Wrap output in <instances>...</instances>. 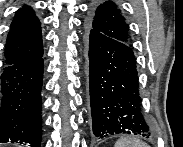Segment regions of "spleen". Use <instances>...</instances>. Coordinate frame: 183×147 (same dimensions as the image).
<instances>
[{
  "instance_id": "1",
  "label": "spleen",
  "mask_w": 183,
  "mask_h": 147,
  "mask_svg": "<svg viewBox=\"0 0 183 147\" xmlns=\"http://www.w3.org/2000/svg\"><path fill=\"white\" fill-rule=\"evenodd\" d=\"M115 147H149L145 142L130 137L120 138Z\"/></svg>"
}]
</instances>
